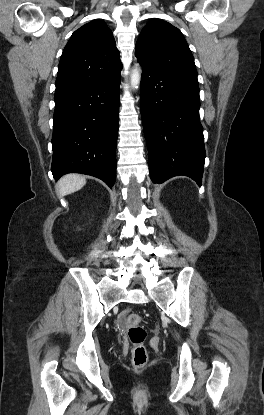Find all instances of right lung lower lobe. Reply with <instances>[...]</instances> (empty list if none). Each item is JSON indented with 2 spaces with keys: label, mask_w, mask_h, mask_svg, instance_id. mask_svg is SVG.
<instances>
[{
  "label": "right lung lower lobe",
  "mask_w": 264,
  "mask_h": 415,
  "mask_svg": "<svg viewBox=\"0 0 264 415\" xmlns=\"http://www.w3.org/2000/svg\"><path fill=\"white\" fill-rule=\"evenodd\" d=\"M120 73L115 77L55 93L52 135L53 177L77 172L112 187L116 179Z\"/></svg>",
  "instance_id": "obj_1"
}]
</instances>
